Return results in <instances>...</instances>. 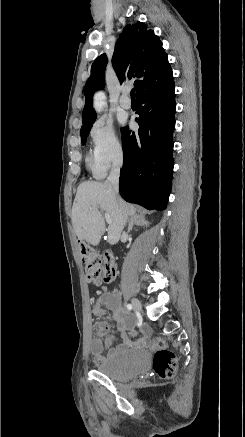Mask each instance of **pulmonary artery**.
<instances>
[{
	"instance_id": "e3ab8cb5",
	"label": "pulmonary artery",
	"mask_w": 245,
	"mask_h": 437,
	"mask_svg": "<svg viewBox=\"0 0 245 437\" xmlns=\"http://www.w3.org/2000/svg\"><path fill=\"white\" fill-rule=\"evenodd\" d=\"M129 89H123L122 96L120 97L119 104L123 109H129L131 107V101L128 97Z\"/></svg>"
}]
</instances>
